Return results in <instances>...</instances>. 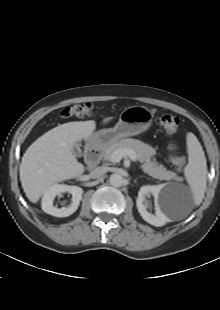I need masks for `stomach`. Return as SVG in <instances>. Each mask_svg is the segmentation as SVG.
<instances>
[{"mask_svg":"<svg viewBox=\"0 0 220 310\" xmlns=\"http://www.w3.org/2000/svg\"><path fill=\"white\" fill-rule=\"evenodd\" d=\"M153 114L143 106H131L120 114L119 121L113 128L102 129L94 133L89 142L93 145L107 146L124 137L145 132L152 124Z\"/></svg>","mask_w":220,"mask_h":310,"instance_id":"obj_1","label":"stomach"}]
</instances>
